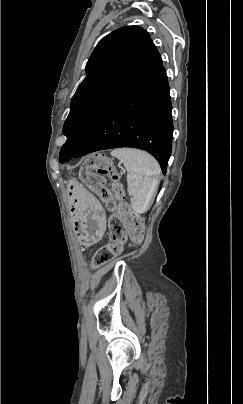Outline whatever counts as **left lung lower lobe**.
I'll return each mask as SVG.
<instances>
[{"instance_id":"0a47b994","label":"left lung lower lobe","mask_w":243,"mask_h":404,"mask_svg":"<svg viewBox=\"0 0 243 404\" xmlns=\"http://www.w3.org/2000/svg\"><path fill=\"white\" fill-rule=\"evenodd\" d=\"M171 110L167 75L162 66L98 119L71 158L99 150L134 147L152 154L166 174L172 151Z\"/></svg>"}]
</instances>
